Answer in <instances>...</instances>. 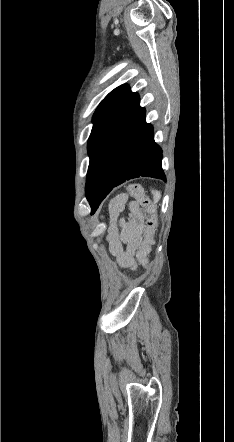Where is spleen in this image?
<instances>
[{"label":"spleen","mask_w":234,"mask_h":442,"mask_svg":"<svg viewBox=\"0 0 234 442\" xmlns=\"http://www.w3.org/2000/svg\"><path fill=\"white\" fill-rule=\"evenodd\" d=\"M154 202H158L161 198V193L156 190H152Z\"/></svg>","instance_id":"spleen-1"}]
</instances>
